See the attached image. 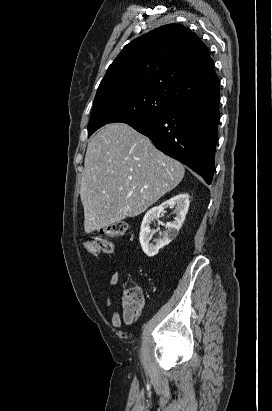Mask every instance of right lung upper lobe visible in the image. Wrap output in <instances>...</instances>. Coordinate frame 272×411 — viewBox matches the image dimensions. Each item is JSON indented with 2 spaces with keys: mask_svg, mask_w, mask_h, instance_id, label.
Wrapping results in <instances>:
<instances>
[{
  "mask_svg": "<svg viewBox=\"0 0 272 411\" xmlns=\"http://www.w3.org/2000/svg\"><path fill=\"white\" fill-rule=\"evenodd\" d=\"M219 87L207 46L180 24H168L127 44L109 66L97 94L131 88L168 92L177 101Z\"/></svg>",
  "mask_w": 272,
  "mask_h": 411,
  "instance_id": "cb5924a9",
  "label": "right lung upper lobe"
}]
</instances>
